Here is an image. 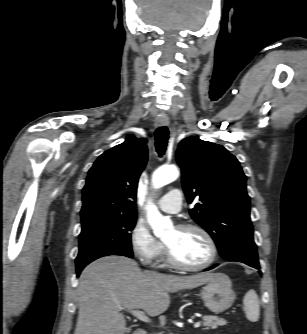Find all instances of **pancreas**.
Returning a JSON list of instances; mask_svg holds the SVG:
<instances>
[{
    "label": "pancreas",
    "mask_w": 307,
    "mask_h": 334,
    "mask_svg": "<svg viewBox=\"0 0 307 334\" xmlns=\"http://www.w3.org/2000/svg\"><path fill=\"white\" fill-rule=\"evenodd\" d=\"M228 322L218 316L207 315L203 317V326L205 329H215L218 326L227 325Z\"/></svg>",
    "instance_id": "obj_1"
}]
</instances>
